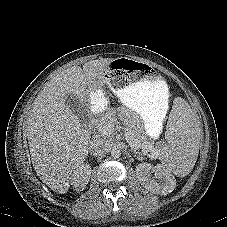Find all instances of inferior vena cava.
Wrapping results in <instances>:
<instances>
[{"label":"inferior vena cava","instance_id":"1","mask_svg":"<svg viewBox=\"0 0 227 227\" xmlns=\"http://www.w3.org/2000/svg\"><path fill=\"white\" fill-rule=\"evenodd\" d=\"M109 143L102 138L95 139L89 145V151L93 156H103L109 151Z\"/></svg>","mask_w":227,"mask_h":227}]
</instances>
